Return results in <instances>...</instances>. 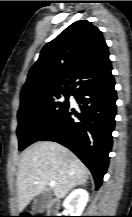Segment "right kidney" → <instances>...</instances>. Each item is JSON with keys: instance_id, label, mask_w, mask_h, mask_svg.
I'll return each instance as SVG.
<instances>
[{"instance_id": "1", "label": "right kidney", "mask_w": 132, "mask_h": 217, "mask_svg": "<svg viewBox=\"0 0 132 217\" xmlns=\"http://www.w3.org/2000/svg\"><path fill=\"white\" fill-rule=\"evenodd\" d=\"M89 194L85 189L74 190L64 201L63 205L70 216H81L87 202Z\"/></svg>"}]
</instances>
